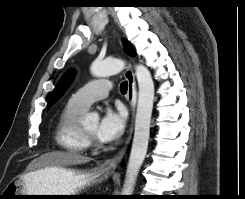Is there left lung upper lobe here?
Wrapping results in <instances>:
<instances>
[{
    "label": "left lung upper lobe",
    "mask_w": 245,
    "mask_h": 199,
    "mask_svg": "<svg viewBox=\"0 0 245 199\" xmlns=\"http://www.w3.org/2000/svg\"><path fill=\"white\" fill-rule=\"evenodd\" d=\"M125 49L126 52L130 55V56H135V51L132 48V46L125 42ZM73 79V72L69 71L67 72L61 79L60 81L57 83L56 87L54 88L49 102H48V108L52 106V104L54 102H56L59 97L63 94V92L65 91V89L68 87L69 83L72 81Z\"/></svg>",
    "instance_id": "obj_1"
}]
</instances>
